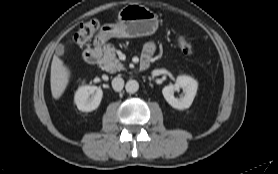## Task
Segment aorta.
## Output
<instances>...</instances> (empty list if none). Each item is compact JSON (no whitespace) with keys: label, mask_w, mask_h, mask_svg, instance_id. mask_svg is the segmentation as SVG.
Masks as SVG:
<instances>
[{"label":"aorta","mask_w":278,"mask_h":174,"mask_svg":"<svg viewBox=\"0 0 278 174\" xmlns=\"http://www.w3.org/2000/svg\"><path fill=\"white\" fill-rule=\"evenodd\" d=\"M125 88L128 93L133 94L138 91L139 83L136 80H129L126 83Z\"/></svg>","instance_id":"1"}]
</instances>
